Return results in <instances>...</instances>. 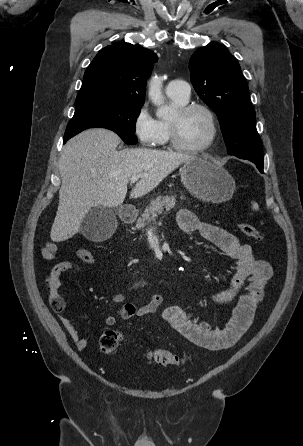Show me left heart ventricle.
Masks as SVG:
<instances>
[{
    "label": "left heart ventricle",
    "instance_id": "1",
    "mask_svg": "<svg viewBox=\"0 0 303 446\" xmlns=\"http://www.w3.org/2000/svg\"><path fill=\"white\" fill-rule=\"evenodd\" d=\"M170 120L176 121L178 125V137L186 146H199L203 144L210 135V124L207 116L200 110L179 117L177 112Z\"/></svg>",
    "mask_w": 303,
    "mask_h": 446
}]
</instances>
